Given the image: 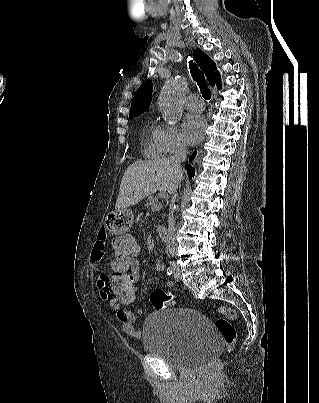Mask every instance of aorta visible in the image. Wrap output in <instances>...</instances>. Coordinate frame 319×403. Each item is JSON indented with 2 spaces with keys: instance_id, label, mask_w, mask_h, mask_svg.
<instances>
[{
  "instance_id": "obj_1",
  "label": "aorta",
  "mask_w": 319,
  "mask_h": 403,
  "mask_svg": "<svg viewBox=\"0 0 319 403\" xmlns=\"http://www.w3.org/2000/svg\"><path fill=\"white\" fill-rule=\"evenodd\" d=\"M186 89V81L177 76L168 80L160 93L159 108L164 120L170 124H176L182 116V98Z\"/></svg>"
}]
</instances>
